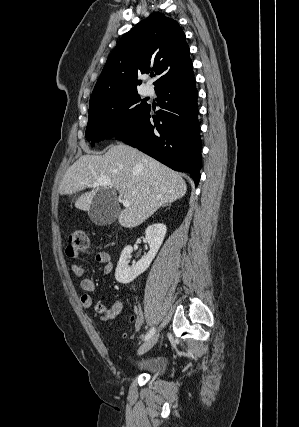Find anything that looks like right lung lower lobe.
Returning <instances> with one entry per match:
<instances>
[{"label": "right lung lower lobe", "mask_w": 299, "mask_h": 427, "mask_svg": "<svg viewBox=\"0 0 299 427\" xmlns=\"http://www.w3.org/2000/svg\"><path fill=\"white\" fill-rule=\"evenodd\" d=\"M161 107L150 122V110L117 140L138 148L168 167L187 172L197 186L201 168L197 90L193 71L155 89Z\"/></svg>", "instance_id": "1"}]
</instances>
